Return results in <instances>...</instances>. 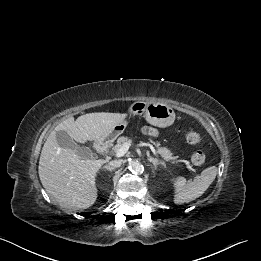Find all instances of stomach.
Segmentation results:
<instances>
[{
	"label": "stomach",
	"mask_w": 261,
	"mask_h": 261,
	"mask_svg": "<svg viewBox=\"0 0 261 261\" xmlns=\"http://www.w3.org/2000/svg\"><path fill=\"white\" fill-rule=\"evenodd\" d=\"M129 112L131 115H143L149 124L160 128L172 125L175 120L174 110L163 103L136 101L130 106ZM126 126L127 122L124 120L115 125L106 140L113 141L123 133Z\"/></svg>",
	"instance_id": "stomach-1"
}]
</instances>
